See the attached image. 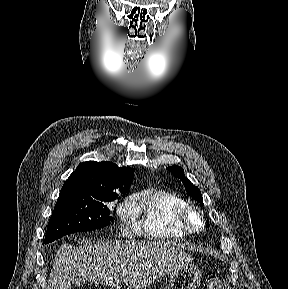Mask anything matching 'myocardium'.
I'll use <instances>...</instances> for the list:
<instances>
[{"label":"myocardium","mask_w":288,"mask_h":289,"mask_svg":"<svg viewBox=\"0 0 288 289\" xmlns=\"http://www.w3.org/2000/svg\"><path fill=\"white\" fill-rule=\"evenodd\" d=\"M183 225L191 233H198L206 228L204 213L194 205H187L180 213Z\"/></svg>","instance_id":"1"}]
</instances>
